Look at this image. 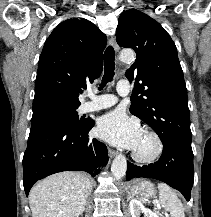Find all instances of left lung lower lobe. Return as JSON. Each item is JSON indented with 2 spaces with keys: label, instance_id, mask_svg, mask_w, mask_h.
Instances as JSON below:
<instances>
[{
  "label": "left lung lower lobe",
  "instance_id": "0a47b994",
  "mask_svg": "<svg viewBox=\"0 0 211 217\" xmlns=\"http://www.w3.org/2000/svg\"><path fill=\"white\" fill-rule=\"evenodd\" d=\"M163 142L161 158L142 167L127 162V180L132 178H153L179 190L190 200L194 182L193 152L191 142L168 137Z\"/></svg>",
  "mask_w": 211,
  "mask_h": 217
}]
</instances>
